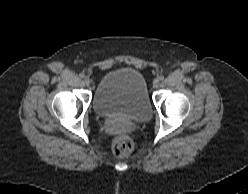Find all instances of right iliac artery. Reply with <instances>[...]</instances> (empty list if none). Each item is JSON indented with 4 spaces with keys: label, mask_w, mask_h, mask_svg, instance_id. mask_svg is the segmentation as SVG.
<instances>
[{
    "label": "right iliac artery",
    "mask_w": 248,
    "mask_h": 194,
    "mask_svg": "<svg viewBox=\"0 0 248 194\" xmlns=\"http://www.w3.org/2000/svg\"><path fill=\"white\" fill-rule=\"evenodd\" d=\"M79 77H80V78H84L85 75H84L83 73H81V74H79Z\"/></svg>",
    "instance_id": "82829eb1"
}]
</instances>
